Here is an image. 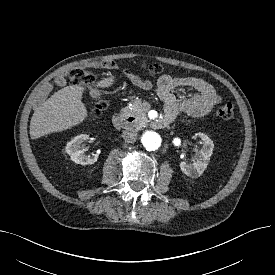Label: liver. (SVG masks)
I'll list each match as a JSON object with an SVG mask.
<instances>
[{
  "label": "liver",
  "instance_id": "6515ba94",
  "mask_svg": "<svg viewBox=\"0 0 275 275\" xmlns=\"http://www.w3.org/2000/svg\"><path fill=\"white\" fill-rule=\"evenodd\" d=\"M114 82L115 77L112 76L102 79L97 86L108 88ZM84 89L79 85L64 87L35 109L30 122L31 138L61 132L82 123L88 117L87 108L82 102Z\"/></svg>",
  "mask_w": 275,
  "mask_h": 275
}]
</instances>
